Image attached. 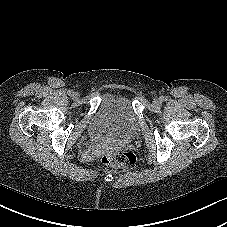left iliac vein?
I'll return each mask as SVG.
<instances>
[{
	"instance_id": "1",
	"label": "left iliac vein",
	"mask_w": 227,
	"mask_h": 227,
	"mask_svg": "<svg viewBox=\"0 0 227 227\" xmlns=\"http://www.w3.org/2000/svg\"><path fill=\"white\" fill-rule=\"evenodd\" d=\"M153 104L158 107L162 104V101L160 98H155L153 99Z\"/></svg>"
}]
</instances>
